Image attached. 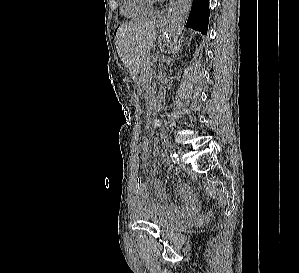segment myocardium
<instances>
[{
  "instance_id": "myocardium-1",
  "label": "myocardium",
  "mask_w": 299,
  "mask_h": 273,
  "mask_svg": "<svg viewBox=\"0 0 299 273\" xmlns=\"http://www.w3.org/2000/svg\"><path fill=\"white\" fill-rule=\"evenodd\" d=\"M160 0H147V2L149 3V5L152 7L154 6L157 2H159Z\"/></svg>"
}]
</instances>
